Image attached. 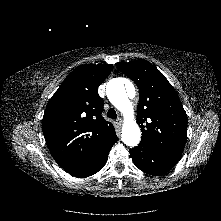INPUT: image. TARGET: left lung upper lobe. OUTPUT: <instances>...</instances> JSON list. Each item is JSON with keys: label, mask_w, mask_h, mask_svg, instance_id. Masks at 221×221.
Masks as SVG:
<instances>
[{"label": "left lung upper lobe", "mask_w": 221, "mask_h": 221, "mask_svg": "<svg viewBox=\"0 0 221 221\" xmlns=\"http://www.w3.org/2000/svg\"><path fill=\"white\" fill-rule=\"evenodd\" d=\"M118 67L140 91L137 123L142 130L141 142L181 155L187 139V115L174 88L146 60Z\"/></svg>", "instance_id": "obj_1"}]
</instances>
